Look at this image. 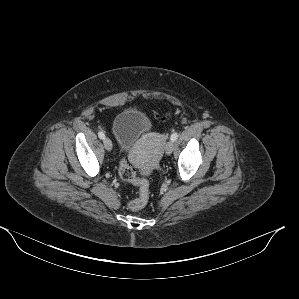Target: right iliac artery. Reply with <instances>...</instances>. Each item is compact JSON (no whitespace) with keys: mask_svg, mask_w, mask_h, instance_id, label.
<instances>
[{"mask_svg":"<svg viewBox=\"0 0 299 299\" xmlns=\"http://www.w3.org/2000/svg\"><path fill=\"white\" fill-rule=\"evenodd\" d=\"M98 136H99L100 139H104V138H105V135H104L103 132H99V133H98Z\"/></svg>","mask_w":299,"mask_h":299,"instance_id":"82829eb1","label":"right iliac artery"}]
</instances>
